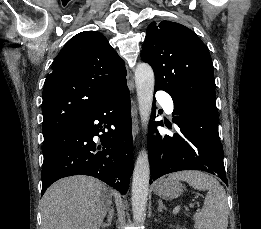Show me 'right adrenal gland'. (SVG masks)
I'll use <instances>...</instances> for the list:
<instances>
[{
    "label": "right adrenal gland",
    "instance_id": "right-adrenal-gland-1",
    "mask_svg": "<svg viewBox=\"0 0 261 229\" xmlns=\"http://www.w3.org/2000/svg\"><path fill=\"white\" fill-rule=\"evenodd\" d=\"M114 217V209L111 207L108 211V217H107V223H102V229H105V227H110L112 225V219Z\"/></svg>",
    "mask_w": 261,
    "mask_h": 229
}]
</instances>
